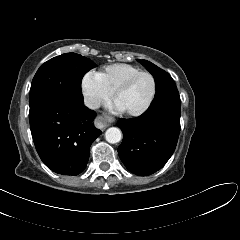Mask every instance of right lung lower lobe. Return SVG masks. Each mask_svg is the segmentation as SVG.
I'll list each match as a JSON object with an SVG mask.
<instances>
[{"instance_id": "1", "label": "right lung lower lobe", "mask_w": 240, "mask_h": 240, "mask_svg": "<svg viewBox=\"0 0 240 240\" xmlns=\"http://www.w3.org/2000/svg\"><path fill=\"white\" fill-rule=\"evenodd\" d=\"M36 150L46 166L63 175H78L86 167L90 146L101 134L93 125L96 113L83 99L55 98L30 110Z\"/></svg>"}]
</instances>
